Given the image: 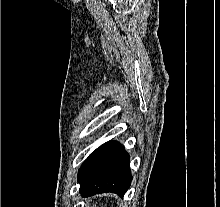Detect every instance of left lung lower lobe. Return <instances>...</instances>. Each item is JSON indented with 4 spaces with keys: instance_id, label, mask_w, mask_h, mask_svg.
Wrapping results in <instances>:
<instances>
[{
    "instance_id": "0a47b994",
    "label": "left lung lower lobe",
    "mask_w": 220,
    "mask_h": 207,
    "mask_svg": "<svg viewBox=\"0 0 220 207\" xmlns=\"http://www.w3.org/2000/svg\"><path fill=\"white\" fill-rule=\"evenodd\" d=\"M132 181L129 154L115 141L96 149L78 172L80 193L83 197L104 192L123 196Z\"/></svg>"
}]
</instances>
